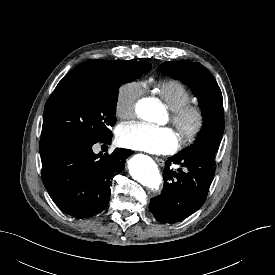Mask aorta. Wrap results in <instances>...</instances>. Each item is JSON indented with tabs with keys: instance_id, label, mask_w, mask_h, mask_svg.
<instances>
[{
	"instance_id": "1",
	"label": "aorta",
	"mask_w": 275,
	"mask_h": 275,
	"mask_svg": "<svg viewBox=\"0 0 275 275\" xmlns=\"http://www.w3.org/2000/svg\"><path fill=\"white\" fill-rule=\"evenodd\" d=\"M137 111L147 121H157L163 113L160 104L153 98L142 99L137 105ZM129 171L134 179L148 188L157 190L162 182L157 164L148 157H133Z\"/></svg>"
}]
</instances>
